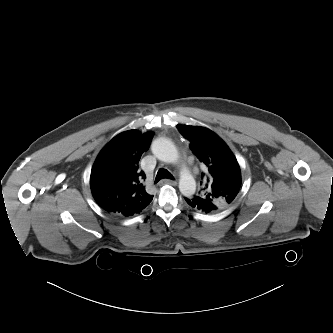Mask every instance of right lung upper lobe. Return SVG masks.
<instances>
[{
    "label": "right lung upper lobe",
    "mask_w": 333,
    "mask_h": 333,
    "mask_svg": "<svg viewBox=\"0 0 333 333\" xmlns=\"http://www.w3.org/2000/svg\"><path fill=\"white\" fill-rule=\"evenodd\" d=\"M153 132L128 130L115 136L99 153L92 167L90 187L93 198L107 213L132 216L152 201L139 170L141 155L148 150Z\"/></svg>",
    "instance_id": "1"
}]
</instances>
